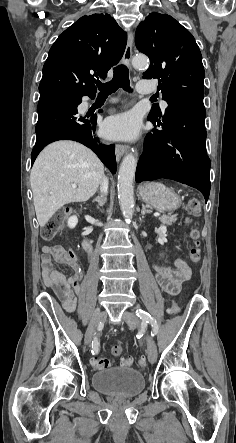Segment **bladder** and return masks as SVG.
<instances>
[{
  "mask_svg": "<svg viewBox=\"0 0 236 443\" xmlns=\"http://www.w3.org/2000/svg\"><path fill=\"white\" fill-rule=\"evenodd\" d=\"M92 384L108 396L132 398L144 389L145 377L132 368L104 369L93 375Z\"/></svg>",
  "mask_w": 236,
  "mask_h": 443,
  "instance_id": "31cf9c89",
  "label": "bladder"
}]
</instances>
